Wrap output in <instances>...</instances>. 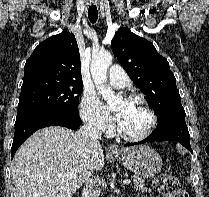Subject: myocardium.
I'll return each instance as SVG.
<instances>
[{
    "mask_svg": "<svg viewBox=\"0 0 209 197\" xmlns=\"http://www.w3.org/2000/svg\"><path fill=\"white\" fill-rule=\"evenodd\" d=\"M128 101L139 102L142 104V106L146 109V111L149 114V117H150L149 125L147 126V128L143 132H141L140 134H135V135L128 134L125 131H123L121 129V127L119 126V124H117V126H116V131L120 137H122L123 139H125L127 141H131V142L142 141V140L148 138L157 126L156 112L149 105V103L146 101V99L141 95H130L128 97Z\"/></svg>",
    "mask_w": 209,
    "mask_h": 197,
    "instance_id": "myocardium-1",
    "label": "myocardium"
}]
</instances>
